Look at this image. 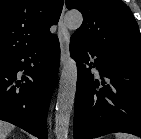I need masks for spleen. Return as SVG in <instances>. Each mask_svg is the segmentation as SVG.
Here are the masks:
<instances>
[{"instance_id":"1","label":"spleen","mask_w":141,"mask_h":139,"mask_svg":"<svg viewBox=\"0 0 141 139\" xmlns=\"http://www.w3.org/2000/svg\"><path fill=\"white\" fill-rule=\"evenodd\" d=\"M115 139H138V138L130 134L117 133L115 134Z\"/></svg>"}]
</instances>
